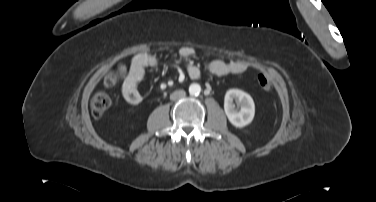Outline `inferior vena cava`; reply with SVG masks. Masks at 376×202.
I'll return each instance as SVG.
<instances>
[{"instance_id": "602c4592", "label": "inferior vena cava", "mask_w": 376, "mask_h": 202, "mask_svg": "<svg viewBox=\"0 0 376 202\" xmlns=\"http://www.w3.org/2000/svg\"><path fill=\"white\" fill-rule=\"evenodd\" d=\"M185 95L184 91H177L174 94L171 95V99L175 100L177 98L183 97Z\"/></svg>"}]
</instances>
